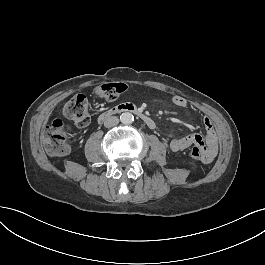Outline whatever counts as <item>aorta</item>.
<instances>
[{
    "mask_svg": "<svg viewBox=\"0 0 265 265\" xmlns=\"http://www.w3.org/2000/svg\"><path fill=\"white\" fill-rule=\"evenodd\" d=\"M120 121L125 125L131 124L134 121V116L130 112H124L120 115Z\"/></svg>",
    "mask_w": 265,
    "mask_h": 265,
    "instance_id": "1",
    "label": "aorta"
}]
</instances>
